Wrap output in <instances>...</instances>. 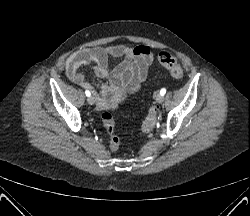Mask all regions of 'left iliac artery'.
<instances>
[{
  "instance_id": "left-iliac-artery-1",
  "label": "left iliac artery",
  "mask_w": 250,
  "mask_h": 216,
  "mask_svg": "<svg viewBox=\"0 0 250 216\" xmlns=\"http://www.w3.org/2000/svg\"><path fill=\"white\" fill-rule=\"evenodd\" d=\"M165 93H166V89L165 88L161 89L160 94L164 96Z\"/></svg>"
}]
</instances>
